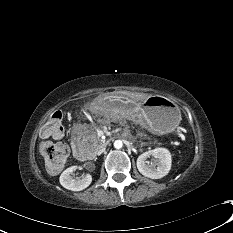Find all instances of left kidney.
<instances>
[{
    "instance_id": "5707ae66",
    "label": "left kidney",
    "mask_w": 233,
    "mask_h": 233,
    "mask_svg": "<svg viewBox=\"0 0 233 233\" xmlns=\"http://www.w3.org/2000/svg\"><path fill=\"white\" fill-rule=\"evenodd\" d=\"M152 156L151 162L147 159ZM171 154L166 148H155L141 154L137 158V168L145 177L160 179L167 175L171 169Z\"/></svg>"
}]
</instances>
